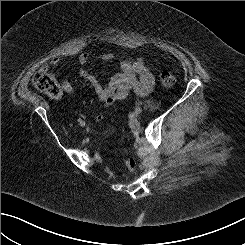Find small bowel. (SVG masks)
I'll use <instances>...</instances> for the list:
<instances>
[{"mask_svg": "<svg viewBox=\"0 0 245 245\" xmlns=\"http://www.w3.org/2000/svg\"><path fill=\"white\" fill-rule=\"evenodd\" d=\"M88 58L87 53H81L78 57L81 64H85ZM103 59H110V55H104ZM57 63L58 58L56 57L50 60L51 65ZM79 74L90 84L105 106L111 105L116 100L126 98L132 91L139 96H146L152 91L155 83L154 76L143 59H125L120 65V70L110 78L106 85L100 83L93 74L84 68L80 69ZM61 88L66 94H72L73 92V87L67 80L62 82ZM102 118L101 113L95 115L96 121H100Z\"/></svg>", "mask_w": 245, "mask_h": 245, "instance_id": "small-bowel-1", "label": "small bowel"}]
</instances>
